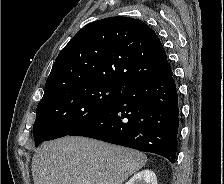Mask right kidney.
Wrapping results in <instances>:
<instances>
[{
	"instance_id": "right-kidney-1",
	"label": "right kidney",
	"mask_w": 224,
	"mask_h": 184,
	"mask_svg": "<svg viewBox=\"0 0 224 184\" xmlns=\"http://www.w3.org/2000/svg\"><path fill=\"white\" fill-rule=\"evenodd\" d=\"M125 184H157V177L152 170L145 169L135 174Z\"/></svg>"
}]
</instances>
